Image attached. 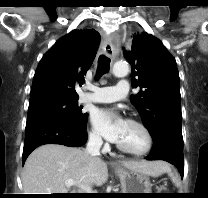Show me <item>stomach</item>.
<instances>
[{
	"mask_svg": "<svg viewBox=\"0 0 208 198\" xmlns=\"http://www.w3.org/2000/svg\"><path fill=\"white\" fill-rule=\"evenodd\" d=\"M122 193H151L152 184L148 175L137 171L116 168ZM127 197H143L142 194H128Z\"/></svg>",
	"mask_w": 208,
	"mask_h": 198,
	"instance_id": "obj_1",
	"label": "stomach"
}]
</instances>
